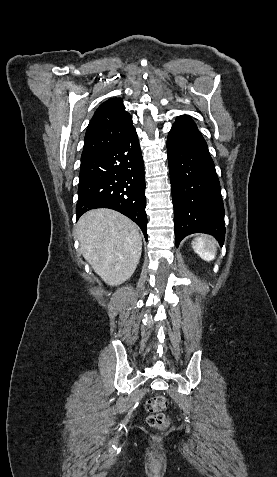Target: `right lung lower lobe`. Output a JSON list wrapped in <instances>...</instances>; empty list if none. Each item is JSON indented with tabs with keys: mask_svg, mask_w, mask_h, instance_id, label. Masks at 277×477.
I'll use <instances>...</instances> for the list:
<instances>
[{
	"mask_svg": "<svg viewBox=\"0 0 277 477\" xmlns=\"http://www.w3.org/2000/svg\"><path fill=\"white\" fill-rule=\"evenodd\" d=\"M77 219L94 208L114 209L133 220L147 240L145 177L135 128L116 144L81 159Z\"/></svg>",
	"mask_w": 277,
	"mask_h": 477,
	"instance_id": "98d812e1",
	"label": "right lung lower lobe"
}]
</instances>
